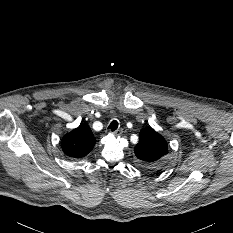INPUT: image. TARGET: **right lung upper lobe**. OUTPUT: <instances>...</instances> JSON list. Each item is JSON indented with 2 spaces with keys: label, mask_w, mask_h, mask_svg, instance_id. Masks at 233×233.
I'll use <instances>...</instances> for the list:
<instances>
[{
  "label": "right lung upper lobe",
  "mask_w": 233,
  "mask_h": 233,
  "mask_svg": "<svg viewBox=\"0 0 233 233\" xmlns=\"http://www.w3.org/2000/svg\"><path fill=\"white\" fill-rule=\"evenodd\" d=\"M95 145V137L85 123L73 129L62 139L63 152L70 157L80 158L86 156Z\"/></svg>",
  "instance_id": "cb5924a9"
}]
</instances>
